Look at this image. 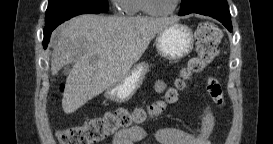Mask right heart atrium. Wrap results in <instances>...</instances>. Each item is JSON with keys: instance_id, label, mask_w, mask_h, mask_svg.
Segmentation results:
<instances>
[{"instance_id": "d8ad5b80", "label": "right heart atrium", "mask_w": 273, "mask_h": 144, "mask_svg": "<svg viewBox=\"0 0 273 144\" xmlns=\"http://www.w3.org/2000/svg\"><path fill=\"white\" fill-rule=\"evenodd\" d=\"M124 0H112V4L117 10H121L123 6Z\"/></svg>"}]
</instances>
